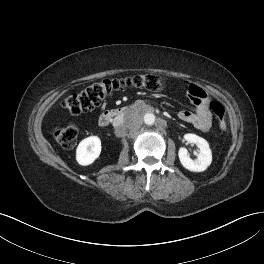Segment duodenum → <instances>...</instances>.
I'll use <instances>...</instances> for the list:
<instances>
[{
	"mask_svg": "<svg viewBox=\"0 0 264 264\" xmlns=\"http://www.w3.org/2000/svg\"><path fill=\"white\" fill-rule=\"evenodd\" d=\"M127 110V107H116L109 109L102 113V115L99 117L98 123L101 127L107 126L114 118L122 116ZM144 110L148 113H154V109L151 107H146ZM158 121L160 122L159 118Z\"/></svg>",
	"mask_w": 264,
	"mask_h": 264,
	"instance_id": "obj_1",
	"label": "duodenum"
}]
</instances>
